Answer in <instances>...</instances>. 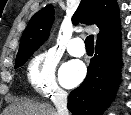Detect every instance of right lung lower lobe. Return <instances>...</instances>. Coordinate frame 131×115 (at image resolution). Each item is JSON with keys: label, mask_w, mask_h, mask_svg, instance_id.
Segmentation results:
<instances>
[{"label": "right lung lower lobe", "mask_w": 131, "mask_h": 115, "mask_svg": "<svg viewBox=\"0 0 131 115\" xmlns=\"http://www.w3.org/2000/svg\"><path fill=\"white\" fill-rule=\"evenodd\" d=\"M120 36L96 44L87 76L68 99V109L73 115H102L115 97L120 82Z\"/></svg>", "instance_id": "right-lung-lower-lobe-1"}]
</instances>
